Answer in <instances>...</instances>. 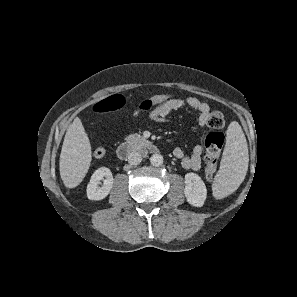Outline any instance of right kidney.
<instances>
[{"instance_id":"ca27d5eb","label":"right kidney","mask_w":297,"mask_h":297,"mask_svg":"<svg viewBox=\"0 0 297 297\" xmlns=\"http://www.w3.org/2000/svg\"><path fill=\"white\" fill-rule=\"evenodd\" d=\"M105 177L103 185L100 187V180ZM114 184V178L110 169L101 167L97 169L91 176L90 182L87 185V197L90 200H102L111 191Z\"/></svg>"}]
</instances>
